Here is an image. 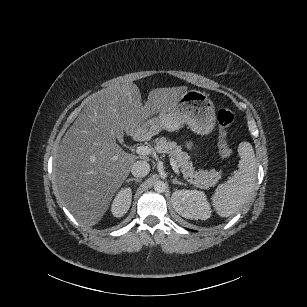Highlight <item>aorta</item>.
Masks as SVG:
<instances>
[{"instance_id": "aorta-1", "label": "aorta", "mask_w": 307, "mask_h": 307, "mask_svg": "<svg viewBox=\"0 0 307 307\" xmlns=\"http://www.w3.org/2000/svg\"><path fill=\"white\" fill-rule=\"evenodd\" d=\"M154 189L157 192H164L166 190V184L163 180H157L154 183Z\"/></svg>"}]
</instances>
